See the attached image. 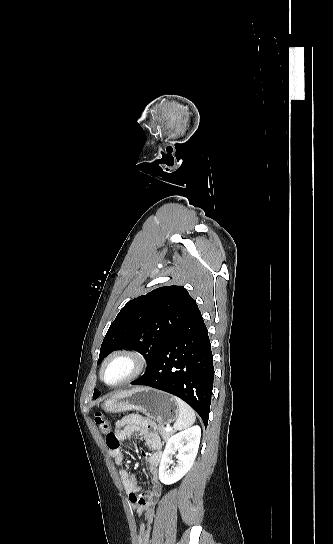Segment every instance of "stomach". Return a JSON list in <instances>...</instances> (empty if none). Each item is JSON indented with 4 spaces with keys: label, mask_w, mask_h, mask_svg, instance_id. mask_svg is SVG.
Segmentation results:
<instances>
[{
    "label": "stomach",
    "mask_w": 333,
    "mask_h": 544,
    "mask_svg": "<svg viewBox=\"0 0 333 544\" xmlns=\"http://www.w3.org/2000/svg\"><path fill=\"white\" fill-rule=\"evenodd\" d=\"M103 408L107 412L139 411L159 424L174 421L178 416V405L172 395L148 387L122 390L106 400Z\"/></svg>",
    "instance_id": "0dacf381"
}]
</instances>
